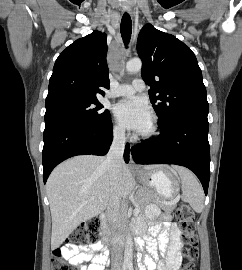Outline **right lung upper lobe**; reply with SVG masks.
Wrapping results in <instances>:
<instances>
[{
	"label": "right lung upper lobe",
	"mask_w": 242,
	"mask_h": 270,
	"mask_svg": "<svg viewBox=\"0 0 242 270\" xmlns=\"http://www.w3.org/2000/svg\"><path fill=\"white\" fill-rule=\"evenodd\" d=\"M106 38L105 33L93 31L59 55L49 80L46 106L104 95L101 87L109 88Z\"/></svg>",
	"instance_id": "1"
}]
</instances>
